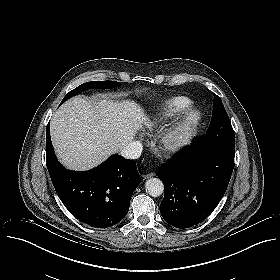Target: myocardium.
Segmentation results:
<instances>
[{
    "instance_id": "obj_1",
    "label": "myocardium",
    "mask_w": 280,
    "mask_h": 280,
    "mask_svg": "<svg viewBox=\"0 0 280 280\" xmlns=\"http://www.w3.org/2000/svg\"><path fill=\"white\" fill-rule=\"evenodd\" d=\"M199 121V114L193 110L184 119L173 122V124L166 129L157 146L158 153L166 154L178 150L187 142L192 132L199 124Z\"/></svg>"
}]
</instances>
